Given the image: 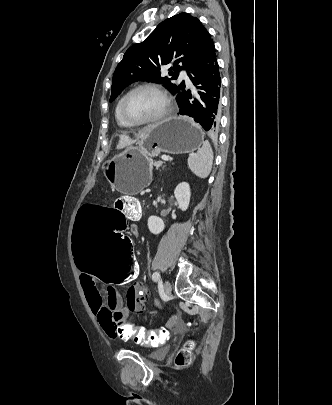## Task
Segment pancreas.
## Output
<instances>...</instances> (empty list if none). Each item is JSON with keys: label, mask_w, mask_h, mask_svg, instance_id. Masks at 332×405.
I'll return each instance as SVG.
<instances>
[{"label": "pancreas", "mask_w": 332, "mask_h": 405, "mask_svg": "<svg viewBox=\"0 0 332 405\" xmlns=\"http://www.w3.org/2000/svg\"><path fill=\"white\" fill-rule=\"evenodd\" d=\"M162 164H163L162 161H157V162L152 163V165H154L157 169H158L159 167H161Z\"/></svg>", "instance_id": "pancreas-1"}]
</instances>
